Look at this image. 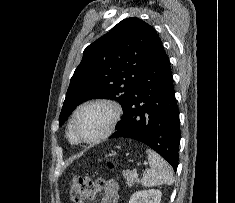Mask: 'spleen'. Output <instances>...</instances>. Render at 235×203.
Masks as SVG:
<instances>
[{
	"label": "spleen",
	"mask_w": 235,
	"mask_h": 203,
	"mask_svg": "<svg viewBox=\"0 0 235 203\" xmlns=\"http://www.w3.org/2000/svg\"><path fill=\"white\" fill-rule=\"evenodd\" d=\"M146 153L148 154L150 168L146 169L143 174L142 186L172 185L174 177L170 165L153 150L147 149Z\"/></svg>",
	"instance_id": "1"
}]
</instances>
